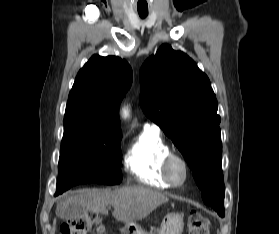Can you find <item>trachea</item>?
Segmentation results:
<instances>
[{"mask_svg": "<svg viewBox=\"0 0 279 234\" xmlns=\"http://www.w3.org/2000/svg\"><path fill=\"white\" fill-rule=\"evenodd\" d=\"M139 15L141 18H145L148 15V13L139 12Z\"/></svg>", "mask_w": 279, "mask_h": 234, "instance_id": "1", "label": "trachea"}]
</instances>
